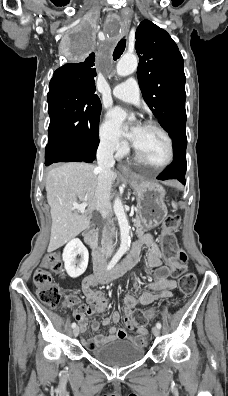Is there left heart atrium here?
<instances>
[{"label":"left heart atrium","instance_id":"39dd6f15","mask_svg":"<svg viewBox=\"0 0 228 396\" xmlns=\"http://www.w3.org/2000/svg\"><path fill=\"white\" fill-rule=\"evenodd\" d=\"M126 117H127L126 112L120 108H115V109L111 110L108 115L109 121H110L112 127L115 129V131L118 132L119 134H123V135L127 136L129 139H131L134 142L135 131L132 130L130 133H125L123 131V124H124Z\"/></svg>","mask_w":228,"mask_h":396}]
</instances>
